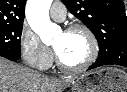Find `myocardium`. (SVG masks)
Segmentation results:
<instances>
[{"label": "myocardium", "instance_id": "1", "mask_svg": "<svg viewBox=\"0 0 127 92\" xmlns=\"http://www.w3.org/2000/svg\"><path fill=\"white\" fill-rule=\"evenodd\" d=\"M76 31L84 32L90 42V53L87 59L77 66L66 65L59 57L55 50V60L58 68L66 73H80L88 69L97 59L99 54V43L94 32L86 25L83 24H72L65 29V33H71Z\"/></svg>", "mask_w": 127, "mask_h": 92}]
</instances>
